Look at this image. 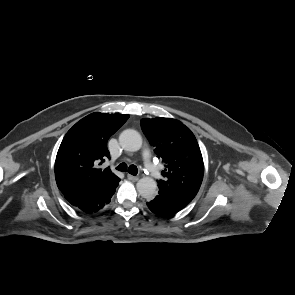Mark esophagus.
I'll use <instances>...</instances> for the list:
<instances>
[{"instance_id":"1","label":"esophagus","mask_w":295,"mask_h":295,"mask_svg":"<svg viewBox=\"0 0 295 295\" xmlns=\"http://www.w3.org/2000/svg\"><path fill=\"white\" fill-rule=\"evenodd\" d=\"M127 178H128L129 180H131V181H137V180L139 179L138 176H133V175H131V174H128V175H127Z\"/></svg>"}]
</instances>
